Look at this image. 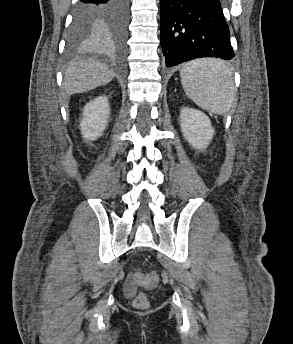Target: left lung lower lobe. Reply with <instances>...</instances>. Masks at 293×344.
<instances>
[{
	"label": "left lung lower lobe",
	"instance_id": "1",
	"mask_svg": "<svg viewBox=\"0 0 293 344\" xmlns=\"http://www.w3.org/2000/svg\"><path fill=\"white\" fill-rule=\"evenodd\" d=\"M160 1L161 47L167 67L201 57H234L219 0Z\"/></svg>",
	"mask_w": 293,
	"mask_h": 344
}]
</instances>
